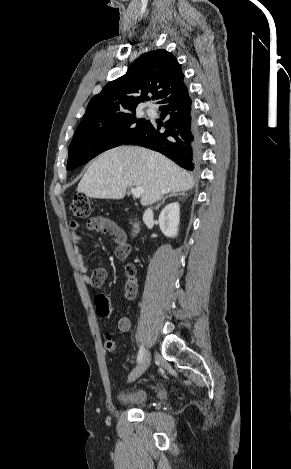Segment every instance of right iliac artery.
Returning <instances> with one entry per match:
<instances>
[{
  "mask_svg": "<svg viewBox=\"0 0 291 469\" xmlns=\"http://www.w3.org/2000/svg\"><path fill=\"white\" fill-rule=\"evenodd\" d=\"M145 350L143 346H140L138 356H137V362H140L144 356Z\"/></svg>",
  "mask_w": 291,
  "mask_h": 469,
  "instance_id": "obj_1",
  "label": "right iliac artery"
}]
</instances>
